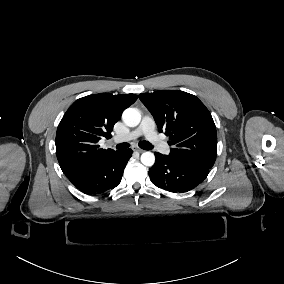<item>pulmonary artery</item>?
<instances>
[{"label":"pulmonary artery","mask_w":284,"mask_h":284,"mask_svg":"<svg viewBox=\"0 0 284 284\" xmlns=\"http://www.w3.org/2000/svg\"><path fill=\"white\" fill-rule=\"evenodd\" d=\"M156 125L153 121L144 118L142 124L125 136H115L114 141H127L135 139L141 135L146 136V141L151 143L160 152H167L169 150V142L164 138H161L159 134L155 132Z\"/></svg>","instance_id":"e3ab8cb5"}]
</instances>
